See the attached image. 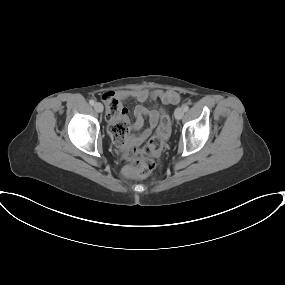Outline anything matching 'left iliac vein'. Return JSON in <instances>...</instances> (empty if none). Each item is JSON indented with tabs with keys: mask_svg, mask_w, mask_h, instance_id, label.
<instances>
[{
	"mask_svg": "<svg viewBox=\"0 0 285 285\" xmlns=\"http://www.w3.org/2000/svg\"><path fill=\"white\" fill-rule=\"evenodd\" d=\"M174 115H175V118H176L177 120H180V119H182L183 116H184V110H183L181 107H178V108L175 110Z\"/></svg>",
	"mask_w": 285,
	"mask_h": 285,
	"instance_id": "left-iliac-vein-1",
	"label": "left iliac vein"
}]
</instances>
